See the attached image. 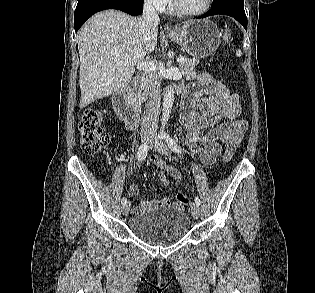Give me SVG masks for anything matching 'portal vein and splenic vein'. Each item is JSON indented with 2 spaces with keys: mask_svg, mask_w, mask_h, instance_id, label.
<instances>
[{
  "mask_svg": "<svg viewBox=\"0 0 315 293\" xmlns=\"http://www.w3.org/2000/svg\"><path fill=\"white\" fill-rule=\"evenodd\" d=\"M185 61L184 57H178L177 62L178 63H183ZM124 65H128L127 62L124 63ZM137 69L142 70V71H155L156 65L153 62H140L137 64Z\"/></svg>",
  "mask_w": 315,
  "mask_h": 293,
  "instance_id": "1",
  "label": "portal vein and splenic vein"
}]
</instances>
